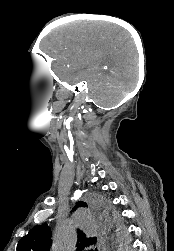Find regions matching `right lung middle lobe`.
<instances>
[{
  "instance_id": "right-lung-middle-lobe-1",
  "label": "right lung middle lobe",
  "mask_w": 174,
  "mask_h": 251,
  "mask_svg": "<svg viewBox=\"0 0 174 251\" xmlns=\"http://www.w3.org/2000/svg\"><path fill=\"white\" fill-rule=\"evenodd\" d=\"M98 198V197H97ZM99 205H103V201L101 198H98ZM100 216L103 219L104 227L109 231L114 226L120 227L118 214L110 209L108 205L99 208Z\"/></svg>"
}]
</instances>
